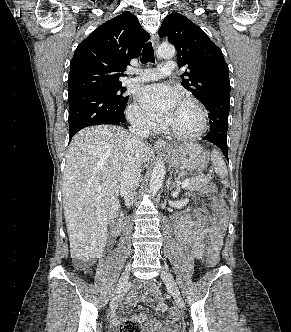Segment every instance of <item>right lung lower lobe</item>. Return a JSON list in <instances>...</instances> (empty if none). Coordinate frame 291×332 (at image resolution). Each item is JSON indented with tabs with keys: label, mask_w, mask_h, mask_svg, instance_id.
Here are the masks:
<instances>
[{
	"label": "right lung lower lobe",
	"mask_w": 291,
	"mask_h": 332,
	"mask_svg": "<svg viewBox=\"0 0 291 332\" xmlns=\"http://www.w3.org/2000/svg\"><path fill=\"white\" fill-rule=\"evenodd\" d=\"M69 140L81 129L101 124L124 123L126 104H118L96 89L79 90L68 94Z\"/></svg>",
	"instance_id": "98d812e1"
}]
</instances>
